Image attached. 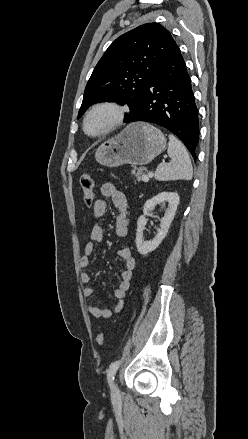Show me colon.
Returning a JSON list of instances; mask_svg holds the SVG:
<instances>
[{"label":"colon","instance_id":"5ec220e1","mask_svg":"<svg viewBox=\"0 0 248 439\" xmlns=\"http://www.w3.org/2000/svg\"><path fill=\"white\" fill-rule=\"evenodd\" d=\"M80 187L83 192V200L87 206H92L94 202V181L90 174L84 173L80 177ZM96 342L99 346L105 345V334L100 332L96 336Z\"/></svg>","mask_w":248,"mask_h":439}]
</instances>
